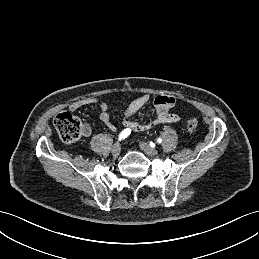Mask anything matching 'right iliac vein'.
Masks as SVG:
<instances>
[{"instance_id": "1", "label": "right iliac vein", "mask_w": 259, "mask_h": 259, "mask_svg": "<svg viewBox=\"0 0 259 259\" xmlns=\"http://www.w3.org/2000/svg\"><path fill=\"white\" fill-rule=\"evenodd\" d=\"M121 151V146L119 143H116L112 146L111 153L114 157H118Z\"/></svg>"}]
</instances>
